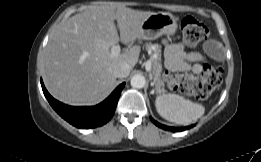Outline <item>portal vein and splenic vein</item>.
I'll return each mask as SVG.
<instances>
[{
	"instance_id": "1",
	"label": "portal vein and splenic vein",
	"mask_w": 261,
	"mask_h": 162,
	"mask_svg": "<svg viewBox=\"0 0 261 162\" xmlns=\"http://www.w3.org/2000/svg\"><path fill=\"white\" fill-rule=\"evenodd\" d=\"M120 52H121V48H120L119 45L112 46V48H111V56L112 57H117L120 54ZM145 68L148 72H150V70H151V60L146 61ZM150 78H152L151 75H150Z\"/></svg>"
}]
</instances>
